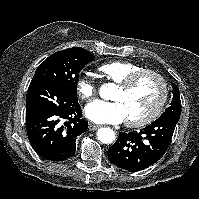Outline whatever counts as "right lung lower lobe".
<instances>
[{"label":"right lung lower lobe","mask_w":199,"mask_h":199,"mask_svg":"<svg viewBox=\"0 0 199 199\" xmlns=\"http://www.w3.org/2000/svg\"><path fill=\"white\" fill-rule=\"evenodd\" d=\"M80 105L60 85L45 81L30 84L26 96V129L38 155L63 161L74 156L76 138L88 129Z\"/></svg>","instance_id":"98d812e1"}]
</instances>
